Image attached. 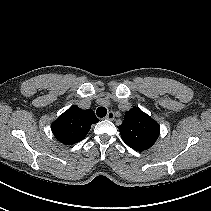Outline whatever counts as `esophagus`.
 Masks as SVG:
<instances>
[{"label": "esophagus", "instance_id": "obj_1", "mask_svg": "<svg viewBox=\"0 0 211 211\" xmlns=\"http://www.w3.org/2000/svg\"><path fill=\"white\" fill-rule=\"evenodd\" d=\"M105 118L108 120H111V121L114 120V118H115L114 112L113 111L108 112V114Z\"/></svg>", "mask_w": 211, "mask_h": 211}]
</instances>
